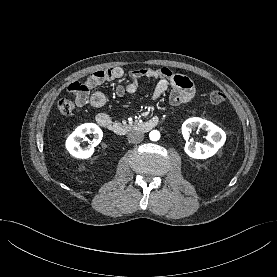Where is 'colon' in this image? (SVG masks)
<instances>
[{
	"instance_id": "colon-1",
	"label": "colon",
	"mask_w": 277,
	"mask_h": 277,
	"mask_svg": "<svg viewBox=\"0 0 277 277\" xmlns=\"http://www.w3.org/2000/svg\"><path fill=\"white\" fill-rule=\"evenodd\" d=\"M76 91H83L85 87L80 84V82H76L74 86ZM208 100L212 105H220L225 100V95L220 90H213L208 95ZM58 109L64 115H69L75 110V103L69 99H61L58 102Z\"/></svg>"
}]
</instances>
